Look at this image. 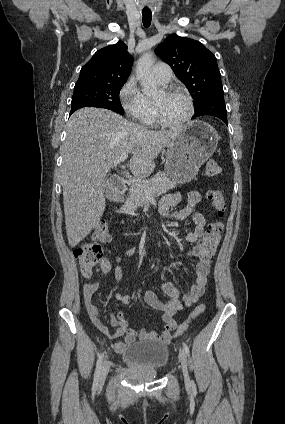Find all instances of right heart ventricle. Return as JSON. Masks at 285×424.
<instances>
[{"instance_id": "obj_1", "label": "right heart ventricle", "mask_w": 285, "mask_h": 424, "mask_svg": "<svg viewBox=\"0 0 285 424\" xmlns=\"http://www.w3.org/2000/svg\"><path fill=\"white\" fill-rule=\"evenodd\" d=\"M147 101H148L150 111H149V116H148V118L145 122L147 124H154L156 122V119H155V115H154L153 103L148 99H147Z\"/></svg>"}]
</instances>
